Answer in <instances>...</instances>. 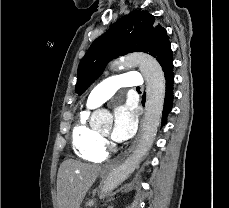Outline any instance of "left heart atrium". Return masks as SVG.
<instances>
[{"instance_id":"39dd6f15","label":"left heart atrium","mask_w":229,"mask_h":208,"mask_svg":"<svg viewBox=\"0 0 229 208\" xmlns=\"http://www.w3.org/2000/svg\"><path fill=\"white\" fill-rule=\"evenodd\" d=\"M137 128V112L131 103L120 105L114 112L112 137L118 142L131 138Z\"/></svg>"}]
</instances>
